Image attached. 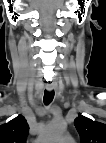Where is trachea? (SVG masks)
Returning a JSON list of instances; mask_svg holds the SVG:
<instances>
[{
	"label": "trachea",
	"mask_w": 106,
	"mask_h": 143,
	"mask_svg": "<svg viewBox=\"0 0 106 143\" xmlns=\"http://www.w3.org/2000/svg\"><path fill=\"white\" fill-rule=\"evenodd\" d=\"M54 98V91L49 92V91H45L44 92V103L46 105L50 104L52 102Z\"/></svg>",
	"instance_id": "trachea-1"
}]
</instances>
